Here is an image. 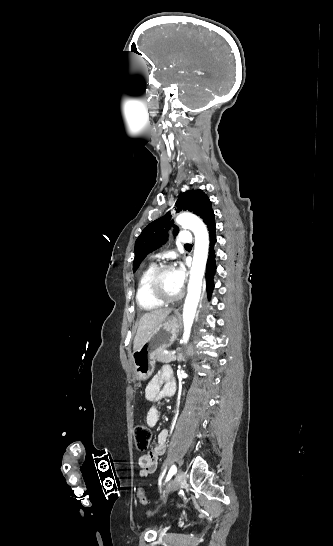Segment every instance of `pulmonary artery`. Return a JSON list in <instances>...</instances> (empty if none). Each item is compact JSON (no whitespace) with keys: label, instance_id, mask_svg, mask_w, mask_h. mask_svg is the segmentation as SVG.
<instances>
[{"label":"pulmonary artery","instance_id":"e3ab8cb5","mask_svg":"<svg viewBox=\"0 0 333 546\" xmlns=\"http://www.w3.org/2000/svg\"><path fill=\"white\" fill-rule=\"evenodd\" d=\"M180 243L189 244L192 242V234L189 231H182L178 235Z\"/></svg>","mask_w":333,"mask_h":546}]
</instances>
